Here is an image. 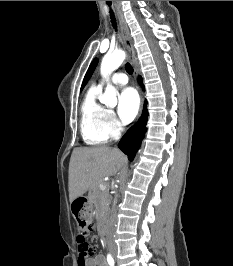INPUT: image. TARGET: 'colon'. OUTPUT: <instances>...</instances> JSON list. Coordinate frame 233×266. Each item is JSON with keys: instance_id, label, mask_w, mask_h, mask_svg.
Masks as SVG:
<instances>
[{"instance_id": "5ec220e1", "label": "colon", "mask_w": 233, "mask_h": 266, "mask_svg": "<svg viewBox=\"0 0 233 266\" xmlns=\"http://www.w3.org/2000/svg\"><path fill=\"white\" fill-rule=\"evenodd\" d=\"M92 231H93V227L88 228L87 232H81L77 236L80 264L83 263L85 258L92 256L94 254L93 247L87 242V235L89 232H92Z\"/></svg>"}]
</instances>
